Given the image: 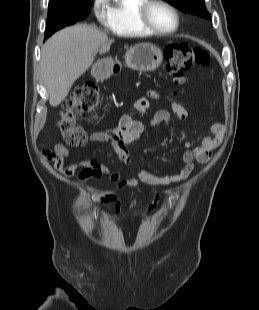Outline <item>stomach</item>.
Masks as SVG:
<instances>
[{"mask_svg": "<svg viewBox=\"0 0 259 310\" xmlns=\"http://www.w3.org/2000/svg\"><path fill=\"white\" fill-rule=\"evenodd\" d=\"M163 60L161 50L149 43H140L131 47L125 54L126 65L137 71H154ZM94 75L99 79H105L111 74V59L98 62L93 67Z\"/></svg>", "mask_w": 259, "mask_h": 310, "instance_id": "stomach-1", "label": "stomach"}]
</instances>
